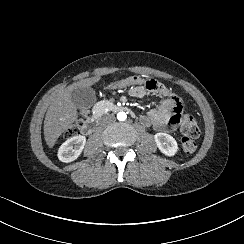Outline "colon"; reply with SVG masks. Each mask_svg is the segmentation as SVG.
Masks as SVG:
<instances>
[{"label":"colon","instance_id":"5ec220e1","mask_svg":"<svg viewBox=\"0 0 244 244\" xmlns=\"http://www.w3.org/2000/svg\"><path fill=\"white\" fill-rule=\"evenodd\" d=\"M179 132L181 134L180 147L188 154L197 149L196 137L200 134V127L194 118L188 114L183 115L179 121ZM75 127H73L74 129Z\"/></svg>","mask_w":244,"mask_h":244}]
</instances>
